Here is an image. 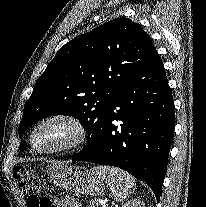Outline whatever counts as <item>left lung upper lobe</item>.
Returning a JSON list of instances; mask_svg holds the SVG:
<instances>
[{"label":"left lung upper lobe","instance_id":"1","mask_svg":"<svg viewBox=\"0 0 206 207\" xmlns=\"http://www.w3.org/2000/svg\"><path fill=\"white\" fill-rule=\"evenodd\" d=\"M156 51L150 36L128 18L113 19L58 50L26 101L19 135L38 120L69 115L81 121L89 149L106 112L126 83ZM27 148L21 141L20 149Z\"/></svg>","mask_w":206,"mask_h":207}]
</instances>
